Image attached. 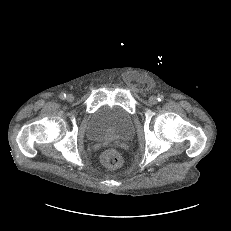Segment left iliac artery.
Instances as JSON below:
<instances>
[{
  "label": "left iliac artery",
  "mask_w": 231,
  "mask_h": 231,
  "mask_svg": "<svg viewBox=\"0 0 231 231\" xmlns=\"http://www.w3.org/2000/svg\"><path fill=\"white\" fill-rule=\"evenodd\" d=\"M163 100H164V96H163V95H159V96H158V101L161 102V101H163Z\"/></svg>",
  "instance_id": "1"
}]
</instances>
